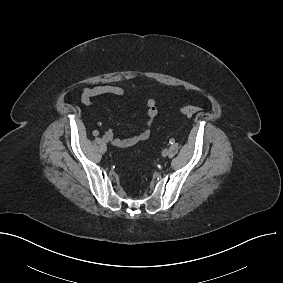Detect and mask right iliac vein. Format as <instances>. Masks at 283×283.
I'll use <instances>...</instances> for the list:
<instances>
[{"label":"right iliac vein","instance_id":"obj_1","mask_svg":"<svg viewBox=\"0 0 283 283\" xmlns=\"http://www.w3.org/2000/svg\"><path fill=\"white\" fill-rule=\"evenodd\" d=\"M103 140H104L106 143H108V142H109V138H108V137H106V136L103 138Z\"/></svg>","mask_w":283,"mask_h":283}]
</instances>
